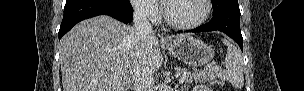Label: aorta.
<instances>
[{
  "label": "aorta",
  "instance_id": "aorta-1",
  "mask_svg": "<svg viewBox=\"0 0 304 91\" xmlns=\"http://www.w3.org/2000/svg\"><path fill=\"white\" fill-rule=\"evenodd\" d=\"M159 91H168V86L165 85V84H162V85L160 86V90H159Z\"/></svg>",
  "mask_w": 304,
  "mask_h": 91
}]
</instances>
